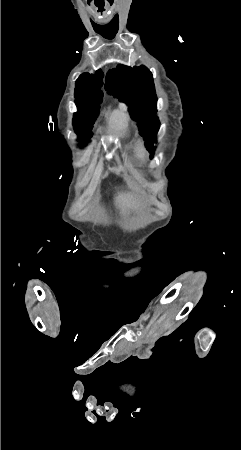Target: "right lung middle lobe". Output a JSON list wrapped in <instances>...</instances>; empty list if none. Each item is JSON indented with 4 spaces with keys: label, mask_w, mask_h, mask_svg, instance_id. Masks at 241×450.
<instances>
[{
    "label": "right lung middle lobe",
    "mask_w": 241,
    "mask_h": 450,
    "mask_svg": "<svg viewBox=\"0 0 241 450\" xmlns=\"http://www.w3.org/2000/svg\"><path fill=\"white\" fill-rule=\"evenodd\" d=\"M103 82L96 76L84 73L77 80L75 84V103L78 112L74 114L73 125L75 130L79 125L80 119L85 114H92L94 123L98 116L100 104L102 102L103 92L100 90ZM93 128V127H92ZM92 133L88 136V139Z\"/></svg>",
    "instance_id": "right-lung-middle-lobe-1"
}]
</instances>
